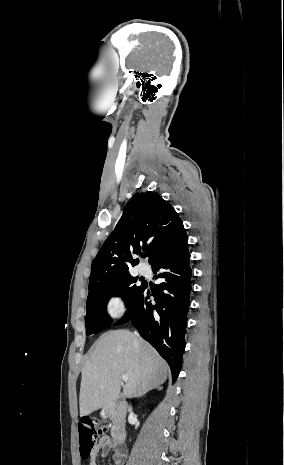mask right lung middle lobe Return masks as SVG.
Masks as SVG:
<instances>
[{"mask_svg":"<svg viewBox=\"0 0 284 465\" xmlns=\"http://www.w3.org/2000/svg\"><path fill=\"white\" fill-rule=\"evenodd\" d=\"M137 279L138 277L129 275L89 291L85 317L87 335L98 334L111 325L112 319L106 312L110 297L121 296L126 306H129L136 294L144 287V283L140 286L135 284Z\"/></svg>","mask_w":284,"mask_h":465,"instance_id":"1","label":"right lung middle lobe"}]
</instances>
